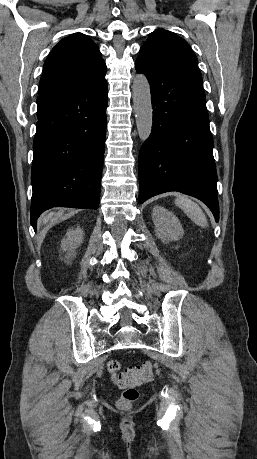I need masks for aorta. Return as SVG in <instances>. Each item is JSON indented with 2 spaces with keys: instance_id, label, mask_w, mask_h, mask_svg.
<instances>
[{
  "instance_id": "1",
  "label": "aorta",
  "mask_w": 257,
  "mask_h": 459,
  "mask_svg": "<svg viewBox=\"0 0 257 459\" xmlns=\"http://www.w3.org/2000/svg\"><path fill=\"white\" fill-rule=\"evenodd\" d=\"M132 93L138 135L141 142H145L151 134L153 123L150 86L145 75L135 76Z\"/></svg>"
}]
</instances>
